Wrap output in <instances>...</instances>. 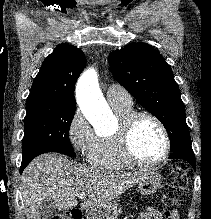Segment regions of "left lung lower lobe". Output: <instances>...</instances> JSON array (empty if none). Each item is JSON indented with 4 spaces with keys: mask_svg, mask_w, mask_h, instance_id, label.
<instances>
[{
    "mask_svg": "<svg viewBox=\"0 0 211 219\" xmlns=\"http://www.w3.org/2000/svg\"><path fill=\"white\" fill-rule=\"evenodd\" d=\"M171 159H183L189 162L194 169H196L195 154L192 150L191 142L180 144L169 156Z\"/></svg>",
    "mask_w": 211,
    "mask_h": 219,
    "instance_id": "left-lung-lower-lobe-1",
    "label": "left lung lower lobe"
}]
</instances>
